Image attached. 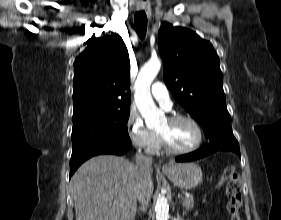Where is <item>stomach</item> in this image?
<instances>
[{"instance_id":"1","label":"stomach","mask_w":281,"mask_h":220,"mask_svg":"<svg viewBox=\"0 0 281 220\" xmlns=\"http://www.w3.org/2000/svg\"><path fill=\"white\" fill-rule=\"evenodd\" d=\"M164 174L179 188L192 189L203 177L201 168L196 163H171Z\"/></svg>"}]
</instances>
